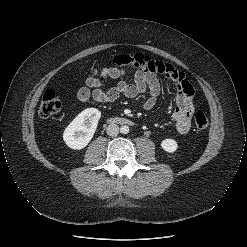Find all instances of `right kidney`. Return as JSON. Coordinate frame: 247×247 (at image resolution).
Listing matches in <instances>:
<instances>
[{
	"label": "right kidney",
	"instance_id": "ca27d5eb",
	"mask_svg": "<svg viewBox=\"0 0 247 247\" xmlns=\"http://www.w3.org/2000/svg\"><path fill=\"white\" fill-rule=\"evenodd\" d=\"M101 112L96 108H87L79 113L66 127L63 140L74 150L83 149L93 138Z\"/></svg>",
	"mask_w": 247,
	"mask_h": 247
}]
</instances>
